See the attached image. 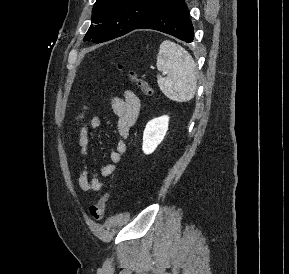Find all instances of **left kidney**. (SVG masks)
Masks as SVG:
<instances>
[{"label":"left kidney","mask_w":289,"mask_h":274,"mask_svg":"<svg viewBox=\"0 0 289 274\" xmlns=\"http://www.w3.org/2000/svg\"><path fill=\"white\" fill-rule=\"evenodd\" d=\"M169 117L162 116L149 121L143 133L142 150L151 154L163 141L168 130Z\"/></svg>","instance_id":"left-kidney-1"}]
</instances>
